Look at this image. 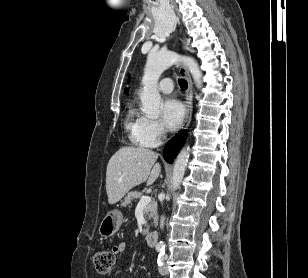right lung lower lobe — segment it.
Here are the masks:
<instances>
[{
    "mask_svg": "<svg viewBox=\"0 0 308 278\" xmlns=\"http://www.w3.org/2000/svg\"><path fill=\"white\" fill-rule=\"evenodd\" d=\"M186 137V131H180V133H178L176 136H174L171 140L168 141L163 151L164 159L168 163L173 162L174 158L177 156L179 150L183 146Z\"/></svg>",
    "mask_w": 308,
    "mask_h": 278,
    "instance_id": "obj_1",
    "label": "right lung lower lobe"
}]
</instances>
